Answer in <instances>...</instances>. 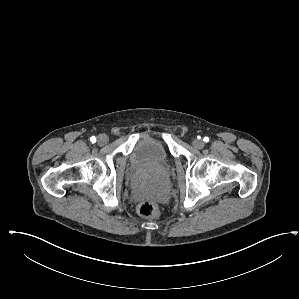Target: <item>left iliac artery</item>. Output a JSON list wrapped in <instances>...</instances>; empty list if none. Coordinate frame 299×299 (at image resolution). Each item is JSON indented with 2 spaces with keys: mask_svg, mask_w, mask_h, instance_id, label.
Masks as SVG:
<instances>
[{
  "mask_svg": "<svg viewBox=\"0 0 299 299\" xmlns=\"http://www.w3.org/2000/svg\"><path fill=\"white\" fill-rule=\"evenodd\" d=\"M203 141H204V142H208V141H209V138H208V137H204Z\"/></svg>",
  "mask_w": 299,
  "mask_h": 299,
  "instance_id": "left-iliac-artery-1",
  "label": "left iliac artery"
}]
</instances>
